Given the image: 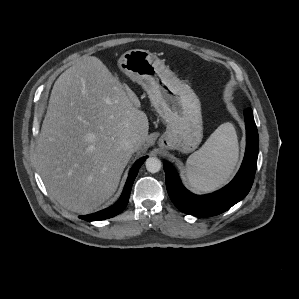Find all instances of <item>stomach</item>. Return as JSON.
<instances>
[{
	"mask_svg": "<svg viewBox=\"0 0 299 299\" xmlns=\"http://www.w3.org/2000/svg\"><path fill=\"white\" fill-rule=\"evenodd\" d=\"M118 66L143 87L153 107L167 123L159 146L183 153L195 150L203 137V123L200 101L191 87L146 50L125 52L119 58Z\"/></svg>",
	"mask_w": 299,
	"mask_h": 299,
	"instance_id": "1",
	"label": "stomach"
}]
</instances>
